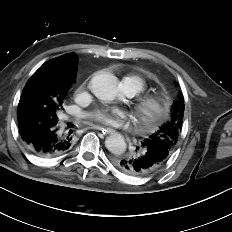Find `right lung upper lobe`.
Segmentation results:
<instances>
[{
  "label": "right lung upper lobe",
  "instance_id": "right-lung-upper-lobe-1",
  "mask_svg": "<svg viewBox=\"0 0 232 232\" xmlns=\"http://www.w3.org/2000/svg\"><path fill=\"white\" fill-rule=\"evenodd\" d=\"M77 63L78 58L75 53L49 60L33 74L28 82H32L37 76L44 74L51 79L64 82L70 87L75 78Z\"/></svg>",
  "mask_w": 232,
  "mask_h": 232
}]
</instances>
